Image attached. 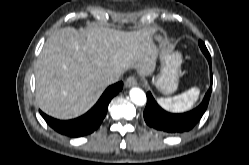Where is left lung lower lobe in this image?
I'll return each instance as SVG.
<instances>
[{
	"label": "left lung lower lobe",
	"instance_id": "left-lung-lower-lobe-1",
	"mask_svg": "<svg viewBox=\"0 0 249 165\" xmlns=\"http://www.w3.org/2000/svg\"><path fill=\"white\" fill-rule=\"evenodd\" d=\"M211 67V60H208ZM211 86L207 91L202 103L195 109L181 114H173L163 110L155 101L150 92L147 93V104L144 110V120L152 127L165 134H180L191 130L205 113L211 91L212 71L210 68Z\"/></svg>",
	"mask_w": 249,
	"mask_h": 165
}]
</instances>
